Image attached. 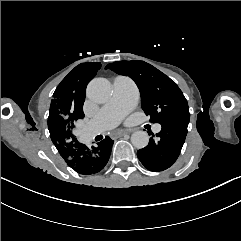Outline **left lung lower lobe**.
I'll return each instance as SVG.
<instances>
[{
	"mask_svg": "<svg viewBox=\"0 0 241 241\" xmlns=\"http://www.w3.org/2000/svg\"><path fill=\"white\" fill-rule=\"evenodd\" d=\"M189 121H171L161 124L162 129L148 146L137 151L141 163L150 171H163L177 160L187 135Z\"/></svg>",
	"mask_w": 241,
	"mask_h": 241,
	"instance_id": "1",
	"label": "left lung lower lobe"
}]
</instances>
